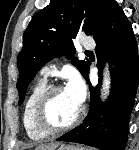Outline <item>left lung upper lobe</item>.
Segmentation results:
<instances>
[{"instance_id": "left-lung-upper-lobe-1", "label": "left lung upper lobe", "mask_w": 139, "mask_h": 150, "mask_svg": "<svg viewBox=\"0 0 139 150\" xmlns=\"http://www.w3.org/2000/svg\"><path fill=\"white\" fill-rule=\"evenodd\" d=\"M115 0H50L30 21L23 34V48L17 58L19 104L36 73L55 57L67 55L86 77L90 62L74 57L72 39L83 30L94 38L105 26Z\"/></svg>"}]
</instances>
